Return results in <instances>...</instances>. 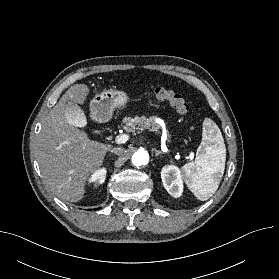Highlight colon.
<instances>
[{"instance_id": "5ec220e1", "label": "colon", "mask_w": 279, "mask_h": 279, "mask_svg": "<svg viewBox=\"0 0 279 279\" xmlns=\"http://www.w3.org/2000/svg\"><path fill=\"white\" fill-rule=\"evenodd\" d=\"M149 96L151 98L167 101L169 104L179 113V114H186L189 110V106L185 99L178 93L174 91L167 90L163 87H157L153 89Z\"/></svg>"}]
</instances>
